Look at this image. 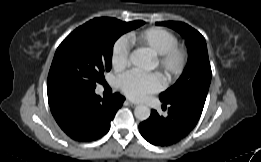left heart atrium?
<instances>
[{"label": "left heart atrium", "instance_id": "1", "mask_svg": "<svg viewBox=\"0 0 261 162\" xmlns=\"http://www.w3.org/2000/svg\"><path fill=\"white\" fill-rule=\"evenodd\" d=\"M117 83L127 97L137 101L160 91L163 87V79L158 73L127 72L118 78Z\"/></svg>", "mask_w": 261, "mask_h": 162}]
</instances>
